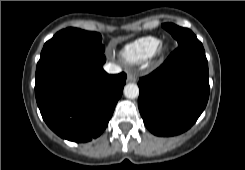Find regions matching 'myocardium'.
<instances>
[{"instance_id": "f54148a6", "label": "myocardium", "mask_w": 245, "mask_h": 170, "mask_svg": "<svg viewBox=\"0 0 245 170\" xmlns=\"http://www.w3.org/2000/svg\"><path fill=\"white\" fill-rule=\"evenodd\" d=\"M168 49H169V47L167 44H159L154 55L156 57L160 58L168 51Z\"/></svg>"}]
</instances>
